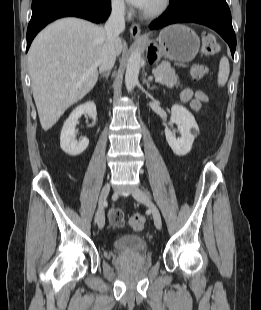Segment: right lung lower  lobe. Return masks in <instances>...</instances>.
<instances>
[{"mask_svg": "<svg viewBox=\"0 0 261 310\" xmlns=\"http://www.w3.org/2000/svg\"><path fill=\"white\" fill-rule=\"evenodd\" d=\"M110 10V0H33L26 51L36 34L58 18L75 16L99 23L108 18Z\"/></svg>", "mask_w": 261, "mask_h": 310, "instance_id": "1", "label": "right lung lower lobe"}]
</instances>
